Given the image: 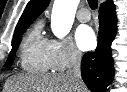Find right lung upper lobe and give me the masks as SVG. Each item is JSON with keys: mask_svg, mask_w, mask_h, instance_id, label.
I'll list each match as a JSON object with an SVG mask.
<instances>
[{"mask_svg": "<svg viewBox=\"0 0 127 92\" xmlns=\"http://www.w3.org/2000/svg\"><path fill=\"white\" fill-rule=\"evenodd\" d=\"M50 0H30L27 4L15 32L29 26L48 6ZM105 3H113V0H107Z\"/></svg>", "mask_w": 127, "mask_h": 92, "instance_id": "1", "label": "right lung upper lobe"}]
</instances>
